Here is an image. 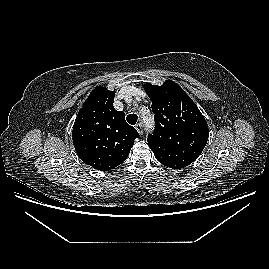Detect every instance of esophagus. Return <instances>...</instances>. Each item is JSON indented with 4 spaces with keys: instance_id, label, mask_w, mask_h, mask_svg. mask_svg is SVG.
Masks as SVG:
<instances>
[{
    "instance_id": "obj_1",
    "label": "esophagus",
    "mask_w": 269,
    "mask_h": 269,
    "mask_svg": "<svg viewBox=\"0 0 269 269\" xmlns=\"http://www.w3.org/2000/svg\"><path fill=\"white\" fill-rule=\"evenodd\" d=\"M135 128H136V130L138 131V133H139L140 135L143 134V126H142L141 123H137V124L135 125Z\"/></svg>"
}]
</instances>
